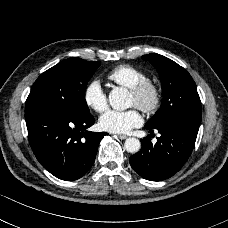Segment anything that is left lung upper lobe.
Returning <instances> with one entry per match:
<instances>
[{
	"label": "left lung upper lobe",
	"instance_id": "5c2ea615",
	"mask_svg": "<svg viewBox=\"0 0 228 228\" xmlns=\"http://www.w3.org/2000/svg\"><path fill=\"white\" fill-rule=\"evenodd\" d=\"M158 71L162 83V104L145 128H156L172 119H187L201 122V101L196 85L183 67L169 58L152 53L142 56Z\"/></svg>",
	"mask_w": 228,
	"mask_h": 228
}]
</instances>
